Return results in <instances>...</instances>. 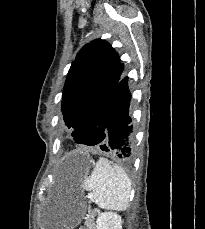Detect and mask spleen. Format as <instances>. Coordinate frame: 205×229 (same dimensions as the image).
Returning a JSON list of instances; mask_svg holds the SVG:
<instances>
[{"instance_id": "obj_1", "label": "spleen", "mask_w": 205, "mask_h": 229, "mask_svg": "<svg viewBox=\"0 0 205 229\" xmlns=\"http://www.w3.org/2000/svg\"><path fill=\"white\" fill-rule=\"evenodd\" d=\"M82 187L91 191V200L100 208L123 211L129 205L131 181L123 169L111 166L106 158H99Z\"/></svg>"}]
</instances>
